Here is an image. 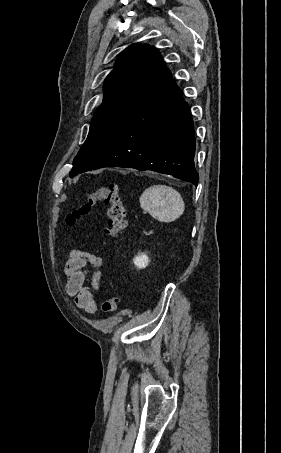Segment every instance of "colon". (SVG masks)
<instances>
[{"label":"colon","mask_w":281,"mask_h":453,"mask_svg":"<svg viewBox=\"0 0 281 453\" xmlns=\"http://www.w3.org/2000/svg\"><path fill=\"white\" fill-rule=\"evenodd\" d=\"M98 204L109 208V216L106 225L102 228V234L113 238L128 227V219L125 211V199L122 187L118 183H111L99 187L95 192L87 194L81 204L67 217L69 226L82 224L88 217L89 210ZM121 303L120 295H112L102 303L101 310L104 314L114 313Z\"/></svg>","instance_id":"colon-1"}]
</instances>
